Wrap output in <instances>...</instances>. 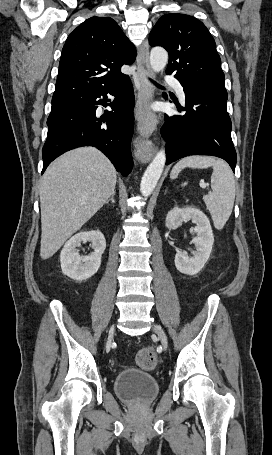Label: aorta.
<instances>
[{
  "instance_id": "obj_1",
  "label": "aorta",
  "mask_w": 272,
  "mask_h": 455,
  "mask_svg": "<svg viewBox=\"0 0 272 455\" xmlns=\"http://www.w3.org/2000/svg\"><path fill=\"white\" fill-rule=\"evenodd\" d=\"M168 62V53L161 47H155L150 53V66L154 72L162 71ZM166 163L165 150H160L143 174L140 192L144 197H148L154 191L157 182L163 172Z\"/></svg>"
}]
</instances>
